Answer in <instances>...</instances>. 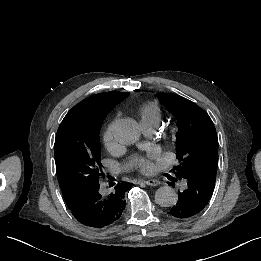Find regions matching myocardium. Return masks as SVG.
<instances>
[{"instance_id":"1","label":"myocardium","mask_w":261,"mask_h":261,"mask_svg":"<svg viewBox=\"0 0 261 261\" xmlns=\"http://www.w3.org/2000/svg\"><path fill=\"white\" fill-rule=\"evenodd\" d=\"M168 141L171 145L177 144L181 138V128L178 125H174L170 128L168 133Z\"/></svg>"}]
</instances>
